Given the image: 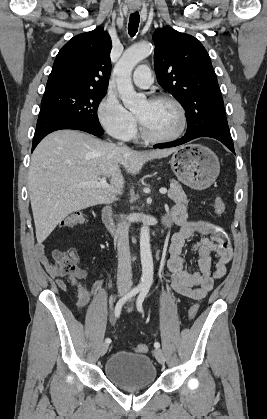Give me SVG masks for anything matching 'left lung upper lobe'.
<instances>
[{"mask_svg": "<svg viewBox=\"0 0 267 419\" xmlns=\"http://www.w3.org/2000/svg\"><path fill=\"white\" fill-rule=\"evenodd\" d=\"M153 40L157 81L183 106L188 126L206 114H218L214 127L227 124L216 74L203 45L171 28L157 29Z\"/></svg>", "mask_w": 267, "mask_h": 419, "instance_id": "left-lung-upper-lobe-1", "label": "left lung upper lobe"}]
</instances>
